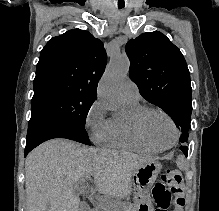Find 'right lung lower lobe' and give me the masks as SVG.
<instances>
[{"label":"right lung lower lobe","mask_w":219,"mask_h":211,"mask_svg":"<svg viewBox=\"0 0 219 211\" xmlns=\"http://www.w3.org/2000/svg\"><path fill=\"white\" fill-rule=\"evenodd\" d=\"M53 138H66L91 145L88 136L79 128L49 118H35L29 121L25 156L42 142Z\"/></svg>","instance_id":"right-lung-lower-lobe-1"}]
</instances>
